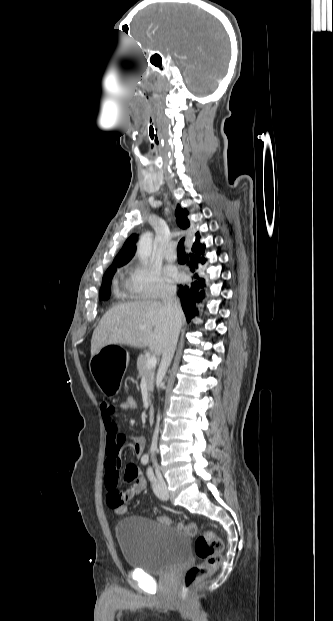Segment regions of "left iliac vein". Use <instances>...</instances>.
Returning <instances> with one entry per match:
<instances>
[{"label":"left iliac vein","mask_w":333,"mask_h":621,"mask_svg":"<svg viewBox=\"0 0 333 621\" xmlns=\"http://www.w3.org/2000/svg\"><path fill=\"white\" fill-rule=\"evenodd\" d=\"M154 491L156 495L162 500H167L169 497L166 483L160 473H157V486L155 487Z\"/></svg>","instance_id":"4c4485c4"}]
</instances>
